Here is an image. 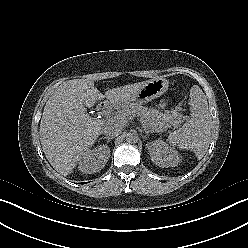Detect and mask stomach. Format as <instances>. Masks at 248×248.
I'll list each match as a JSON object with an SVG mask.
<instances>
[{
  "mask_svg": "<svg viewBox=\"0 0 248 248\" xmlns=\"http://www.w3.org/2000/svg\"><path fill=\"white\" fill-rule=\"evenodd\" d=\"M169 82L162 77H156L148 80L130 99L127 101H117L113 104L117 108H123L131 104H143L153 99L159 98L168 90ZM164 107L165 104H161Z\"/></svg>",
  "mask_w": 248,
  "mask_h": 248,
  "instance_id": "1",
  "label": "stomach"
}]
</instances>
